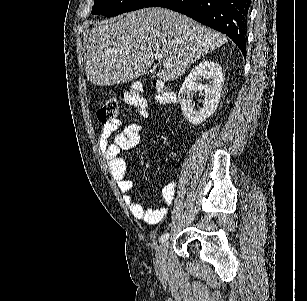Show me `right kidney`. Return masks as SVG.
Returning <instances> with one entry per match:
<instances>
[{
  "label": "right kidney",
  "mask_w": 307,
  "mask_h": 301,
  "mask_svg": "<svg viewBox=\"0 0 307 301\" xmlns=\"http://www.w3.org/2000/svg\"><path fill=\"white\" fill-rule=\"evenodd\" d=\"M200 78H210V84H202ZM224 78L220 64L213 60H202L186 76L179 92L182 112L191 124H201L215 112L221 98ZM197 90H205L202 108H194L192 96Z\"/></svg>",
  "instance_id": "1"
}]
</instances>
